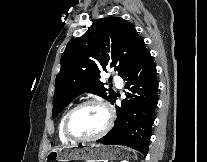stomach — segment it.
<instances>
[{
    "mask_svg": "<svg viewBox=\"0 0 207 162\" xmlns=\"http://www.w3.org/2000/svg\"><path fill=\"white\" fill-rule=\"evenodd\" d=\"M130 153L125 148H115L110 145L103 144H80L69 148L52 149L48 155V162H69V161H85V162H113L129 157Z\"/></svg>",
    "mask_w": 207,
    "mask_h": 162,
    "instance_id": "0dacf381",
    "label": "stomach"
}]
</instances>
